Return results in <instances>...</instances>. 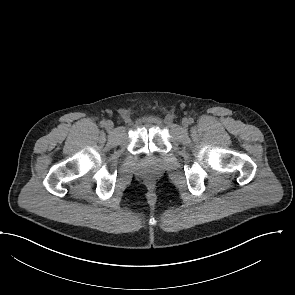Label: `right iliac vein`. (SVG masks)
<instances>
[{
  "label": "right iliac vein",
  "mask_w": 295,
  "mask_h": 295,
  "mask_svg": "<svg viewBox=\"0 0 295 295\" xmlns=\"http://www.w3.org/2000/svg\"><path fill=\"white\" fill-rule=\"evenodd\" d=\"M105 127H106L107 130L110 131V130L113 129L114 124H113V122L111 120H108V121L105 122Z\"/></svg>",
  "instance_id": "right-iliac-vein-1"
}]
</instances>
